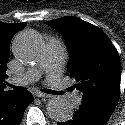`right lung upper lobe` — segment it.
<instances>
[{"label":"right lung upper lobe","instance_id":"cb5924a9","mask_svg":"<svg viewBox=\"0 0 125 125\" xmlns=\"http://www.w3.org/2000/svg\"><path fill=\"white\" fill-rule=\"evenodd\" d=\"M26 23L7 24L0 22V96L12 93V91H4V79L7 77V62L10 56V42L14 34L22 30Z\"/></svg>","mask_w":125,"mask_h":125}]
</instances>
